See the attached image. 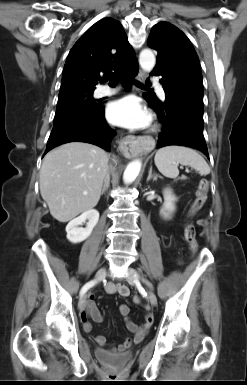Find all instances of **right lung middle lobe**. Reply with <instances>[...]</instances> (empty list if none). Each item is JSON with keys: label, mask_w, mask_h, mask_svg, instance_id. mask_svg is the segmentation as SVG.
Listing matches in <instances>:
<instances>
[{"label": "right lung middle lobe", "mask_w": 247, "mask_h": 385, "mask_svg": "<svg viewBox=\"0 0 247 385\" xmlns=\"http://www.w3.org/2000/svg\"><path fill=\"white\" fill-rule=\"evenodd\" d=\"M92 89H69L60 91L55 117L80 109H93L97 103Z\"/></svg>", "instance_id": "obj_1"}]
</instances>
